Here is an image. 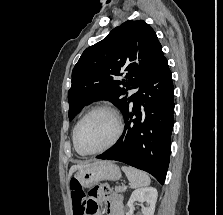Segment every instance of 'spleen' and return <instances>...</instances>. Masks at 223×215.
<instances>
[{
	"label": "spleen",
	"mask_w": 223,
	"mask_h": 215,
	"mask_svg": "<svg viewBox=\"0 0 223 215\" xmlns=\"http://www.w3.org/2000/svg\"><path fill=\"white\" fill-rule=\"evenodd\" d=\"M121 169L126 173L131 187H143V185H149L150 177L145 171L136 169V167H127V165H122Z\"/></svg>",
	"instance_id": "obj_1"
}]
</instances>
